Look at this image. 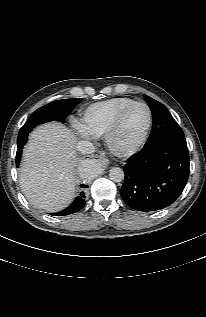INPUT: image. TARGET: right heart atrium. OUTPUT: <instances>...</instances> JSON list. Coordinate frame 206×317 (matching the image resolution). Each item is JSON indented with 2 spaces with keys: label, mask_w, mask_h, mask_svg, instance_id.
<instances>
[{
  "label": "right heart atrium",
  "mask_w": 206,
  "mask_h": 317,
  "mask_svg": "<svg viewBox=\"0 0 206 317\" xmlns=\"http://www.w3.org/2000/svg\"><path fill=\"white\" fill-rule=\"evenodd\" d=\"M74 129L76 131V133L81 136V137H88L89 134L86 132V130L79 124H75L74 125Z\"/></svg>",
  "instance_id": "right-heart-atrium-1"
}]
</instances>
